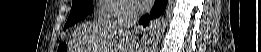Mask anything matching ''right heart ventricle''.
<instances>
[{
  "label": "right heart ventricle",
  "mask_w": 261,
  "mask_h": 52,
  "mask_svg": "<svg viewBox=\"0 0 261 52\" xmlns=\"http://www.w3.org/2000/svg\"><path fill=\"white\" fill-rule=\"evenodd\" d=\"M112 7L111 6H107V5H104L100 8V12L101 13H105L107 12L108 10H110Z\"/></svg>",
  "instance_id": "e07e8e85"
}]
</instances>
